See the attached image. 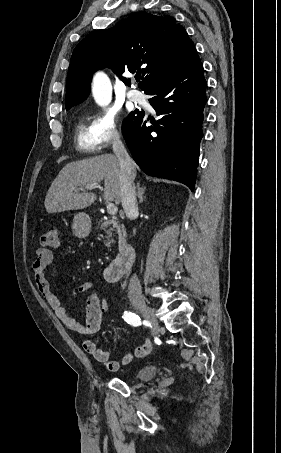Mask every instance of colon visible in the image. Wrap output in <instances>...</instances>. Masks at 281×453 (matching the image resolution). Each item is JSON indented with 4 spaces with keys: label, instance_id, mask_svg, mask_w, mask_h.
<instances>
[{
    "label": "colon",
    "instance_id": "1",
    "mask_svg": "<svg viewBox=\"0 0 281 453\" xmlns=\"http://www.w3.org/2000/svg\"><path fill=\"white\" fill-rule=\"evenodd\" d=\"M60 229L59 226H48L46 232L41 236L39 245H45L47 251L57 249Z\"/></svg>",
    "mask_w": 281,
    "mask_h": 453
}]
</instances>
